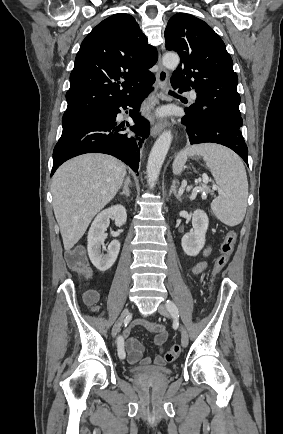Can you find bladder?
Listing matches in <instances>:
<instances>
[{
    "label": "bladder",
    "instance_id": "1",
    "mask_svg": "<svg viewBox=\"0 0 283 434\" xmlns=\"http://www.w3.org/2000/svg\"><path fill=\"white\" fill-rule=\"evenodd\" d=\"M131 373L141 377L162 378L168 376L171 371L168 368L134 367L131 369Z\"/></svg>",
    "mask_w": 283,
    "mask_h": 434
}]
</instances>
